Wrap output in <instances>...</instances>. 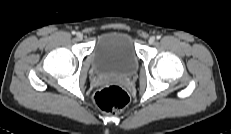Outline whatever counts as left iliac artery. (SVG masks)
<instances>
[{
  "label": "left iliac artery",
  "instance_id": "1",
  "mask_svg": "<svg viewBox=\"0 0 231 134\" xmlns=\"http://www.w3.org/2000/svg\"><path fill=\"white\" fill-rule=\"evenodd\" d=\"M157 39H160L161 38V36L160 35H157V37H156Z\"/></svg>",
  "mask_w": 231,
  "mask_h": 134
}]
</instances>
